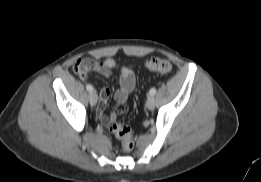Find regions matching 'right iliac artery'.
Instances as JSON below:
<instances>
[{
	"instance_id": "right-iliac-artery-1",
	"label": "right iliac artery",
	"mask_w": 261,
	"mask_h": 182,
	"mask_svg": "<svg viewBox=\"0 0 261 182\" xmlns=\"http://www.w3.org/2000/svg\"><path fill=\"white\" fill-rule=\"evenodd\" d=\"M86 89H87V91H89V92H92V91H93V87H92V85H90V84H88V85L86 86Z\"/></svg>"
}]
</instances>
